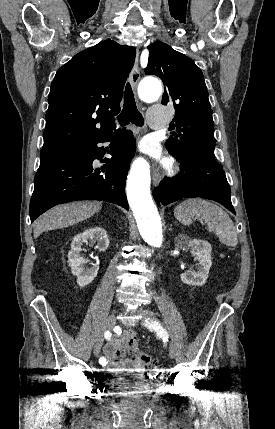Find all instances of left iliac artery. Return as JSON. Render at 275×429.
<instances>
[{
    "label": "left iliac artery",
    "instance_id": "left-iliac-artery-1",
    "mask_svg": "<svg viewBox=\"0 0 275 429\" xmlns=\"http://www.w3.org/2000/svg\"><path fill=\"white\" fill-rule=\"evenodd\" d=\"M147 325H149V327H152V328H156L157 327V325H158V323H156V322H152V324H150L149 322H147Z\"/></svg>",
    "mask_w": 275,
    "mask_h": 429
}]
</instances>
